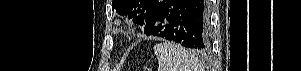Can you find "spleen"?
<instances>
[{"mask_svg":"<svg viewBox=\"0 0 301 71\" xmlns=\"http://www.w3.org/2000/svg\"><path fill=\"white\" fill-rule=\"evenodd\" d=\"M154 53L158 59V71H204L195 54L178 44H156Z\"/></svg>","mask_w":301,"mask_h":71,"instance_id":"1","label":"spleen"}]
</instances>
